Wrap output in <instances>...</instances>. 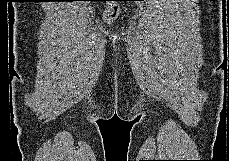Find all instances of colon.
Wrapping results in <instances>:
<instances>
[{
	"mask_svg": "<svg viewBox=\"0 0 229 161\" xmlns=\"http://www.w3.org/2000/svg\"><path fill=\"white\" fill-rule=\"evenodd\" d=\"M118 14H119V5L116 3H110L107 5L102 17L103 20L109 24L118 17Z\"/></svg>",
	"mask_w": 229,
	"mask_h": 161,
	"instance_id": "obj_1",
	"label": "colon"
}]
</instances>
